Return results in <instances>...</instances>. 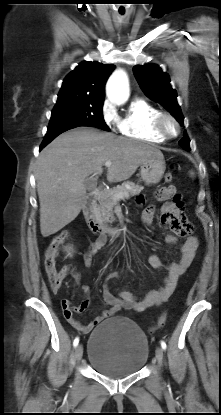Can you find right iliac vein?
I'll return each mask as SVG.
<instances>
[{
    "mask_svg": "<svg viewBox=\"0 0 221 415\" xmlns=\"http://www.w3.org/2000/svg\"><path fill=\"white\" fill-rule=\"evenodd\" d=\"M75 356L76 359L79 361L83 356V346L81 344L77 345L75 348Z\"/></svg>",
    "mask_w": 221,
    "mask_h": 415,
    "instance_id": "right-iliac-vein-1",
    "label": "right iliac vein"
}]
</instances>
